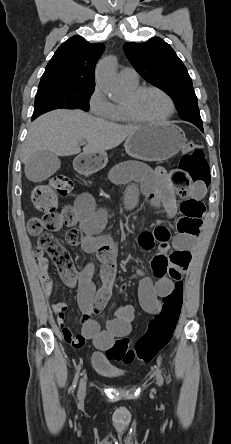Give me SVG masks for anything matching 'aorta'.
Here are the masks:
<instances>
[{
    "instance_id": "762f6f07",
    "label": "aorta",
    "mask_w": 231,
    "mask_h": 444,
    "mask_svg": "<svg viewBox=\"0 0 231 444\" xmlns=\"http://www.w3.org/2000/svg\"><path fill=\"white\" fill-rule=\"evenodd\" d=\"M116 65L117 61L115 57H107L99 62L96 69L97 84L112 100H116L122 91L116 75Z\"/></svg>"
}]
</instances>
